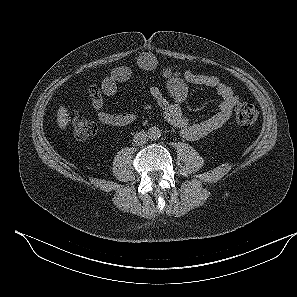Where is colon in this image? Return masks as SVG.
I'll return each instance as SVG.
<instances>
[{
    "label": "colon",
    "instance_id": "obj_1",
    "mask_svg": "<svg viewBox=\"0 0 297 297\" xmlns=\"http://www.w3.org/2000/svg\"><path fill=\"white\" fill-rule=\"evenodd\" d=\"M258 116L259 108L252 103H241L235 111L237 123L242 127L252 126ZM68 121L72 125L74 137L78 140L89 138L96 133L97 124L95 121L79 112H70Z\"/></svg>",
    "mask_w": 297,
    "mask_h": 297
}]
</instances>
